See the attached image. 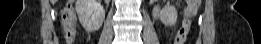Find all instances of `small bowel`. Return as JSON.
I'll list each match as a JSON object with an SVG mask.
<instances>
[{
    "instance_id": "small-bowel-1",
    "label": "small bowel",
    "mask_w": 261,
    "mask_h": 44,
    "mask_svg": "<svg viewBox=\"0 0 261 44\" xmlns=\"http://www.w3.org/2000/svg\"><path fill=\"white\" fill-rule=\"evenodd\" d=\"M189 12V6L185 8V13L187 14ZM196 13V10L193 12V15Z\"/></svg>"
}]
</instances>
